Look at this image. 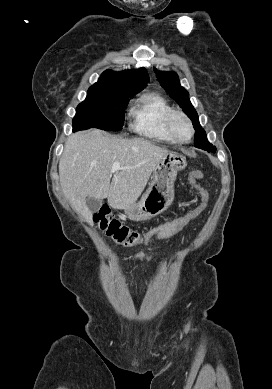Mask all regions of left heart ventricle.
<instances>
[{
    "label": "left heart ventricle",
    "instance_id": "left-heart-ventricle-1",
    "mask_svg": "<svg viewBox=\"0 0 272 389\" xmlns=\"http://www.w3.org/2000/svg\"><path fill=\"white\" fill-rule=\"evenodd\" d=\"M173 126L176 134L180 138L187 139L190 136V129L184 119L176 118Z\"/></svg>",
    "mask_w": 272,
    "mask_h": 389
}]
</instances>
